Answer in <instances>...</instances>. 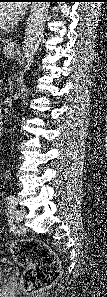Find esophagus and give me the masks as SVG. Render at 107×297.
Returning a JSON list of instances; mask_svg holds the SVG:
<instances>
[{
    "label": "esophagus",
    "mask_w": 107,
    "mask_h": 297,
    "mask_svg": "<svg viewBox=\"0 0 107 297\" xmlns=\"http://www.w3.org/2000/svg\"><path fill=\"white\" fill-rule=\"evenodd\" d=\"M8 47L13 48L14 46L10 44V45H8Z\"/></svg>",
    "instance_id": "1"
}]
</instances>
